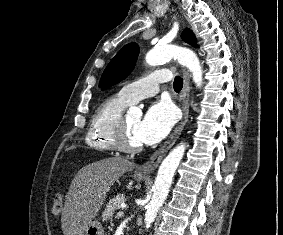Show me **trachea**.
Listing matches in <instances>:
<instances>
[{"label": "trachea", "instance_id": "3493384b", "mask_svg": "<svg viewBox=\"0 0 283 235\" xmlns=\"http://www.w3.org/2000/svg\"><path fill=\"white\" fill-rule=\"evenodd\" d=\"M183 87V79L180 76H176L173 83V88L176 92H179Z\"/></svg>", "mask_w": 283, "mask_h": 235}]
</instances>
